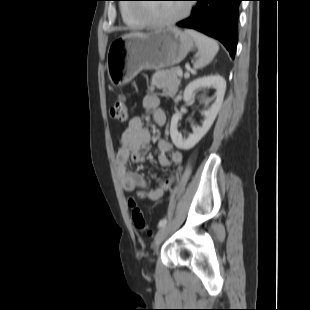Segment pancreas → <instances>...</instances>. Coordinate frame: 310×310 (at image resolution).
I'll return each mask as SVG.
<instances>
[{"instance_id": "obj_1", "label": "pancreas", "mask_w": 310, "mask_h": 310, "mask_svg": "<svg viewBox=\"0 0 310 310\" xmlns=\"http://www.w3.org/2000/svg\"><path fill=\"white\" fill-rule=\"evenodd\" d=\"M178 70V67H173L171 69L157 71L152 76L149 90L153 91L157 87L158 89H162L165 96L175 97L181 82L180 76L177 75Z\"/></svg>"}]
</instances>
